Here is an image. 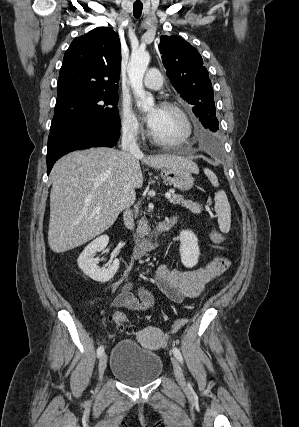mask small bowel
Segmentation results:
<instances>
[{
	"label": "small bowel",
	"instance_id": "small-bowel-1",
	"mask_svg": "<svg viewBox=\"0 0 299 427\" xmlns=\"http://www.w3.org/2000/svg\"><path fill=\"white\" fill-rule=\"evenodd\" d=\"M210 238L218 246L222 245L226 239L225 235L216 230L210 233ZM228 266L229 261L223 257H215L202 267L186 271L171 269L161 264L154 274L153 282L168 299L182 302L198 296L205 284L226 270ZM131 288L130 283L125 284L114 299L113 305L133 311H146L154 306V297L146 286H141L139 289L142 301L132 295ZM103 315V320L107 323L110 316L107 311Z\"/></svg>",
	"mask_w": 299,
	"mask_h": 427
}]
</instances>
